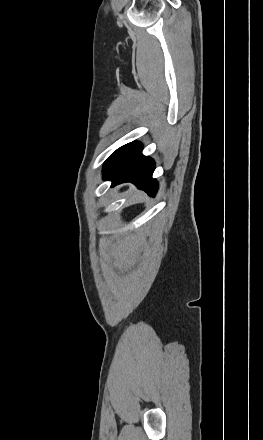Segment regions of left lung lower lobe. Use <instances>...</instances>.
I'll return each instance as SVG.
<instances>
[{"mask_svg": "<svg viewBox=\"0 0 263 440\" xmlns=\"http://www.w3.org/2000/svg\"><path fill=\"white\" fill-rule=\"evenodd\" d=\"M142 149L139 142L118 148L103 168V179L112 181L111 187L132 182L154 196L158 188L156 180L152 179L155 163L153 159L142 155Z\"/></svg>", "mask_w": 263, "mask_h": 440, "instance_id": "0a47b994", "label": "left lung lower lobe"}]
</instances>
